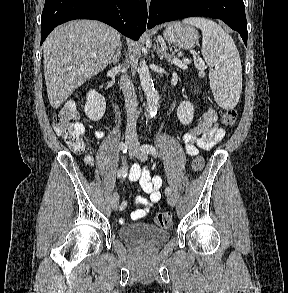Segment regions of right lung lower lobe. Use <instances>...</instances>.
<instances>
[{
	"label": "right lung lower lobe",
	"mask_w": 288,
	"mask_h": 293,
	"mask_svg": "<svg viewBox=\"0 0 288 293\" xmlns=\"http://www.w3.org/2000/svg\"><path fill=\"white\" fill-rule=\"evenodd\" d=\"M73 19L99 20L137 40L146 30V0H45L41 44L57 25Z\"/></svg>",
	"instance_id": "right-lung-lower-lobe-1"
}]
</instances>
